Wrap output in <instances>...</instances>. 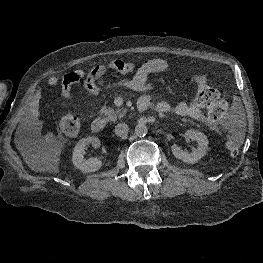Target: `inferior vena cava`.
<instances>
[{
  "instance_id": "1",
  "label": "inferior vena cava",
  "mask_w": 263,
  "mask_h": 263,
  "mask_svg": "<svg viewBox=\"0 0 263 263\" xmlns=\"http://www.w3.org/2000/svg\"><path fill=\"white\" fill-rule=\"evenodd\" d=\"M129 128L126 123H119L115 126V134L119 137H124L128 134Z\"/></svg>"
}]
</instances>
